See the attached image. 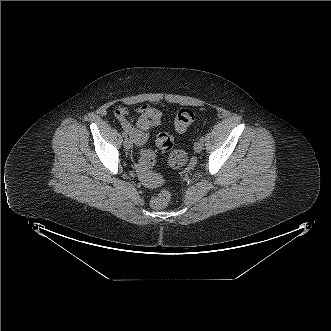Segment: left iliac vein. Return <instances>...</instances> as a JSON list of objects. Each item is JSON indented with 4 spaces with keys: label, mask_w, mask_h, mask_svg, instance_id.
Listing matches in <instances>:
<instances>
[{
    "label": "left iliac vein",
    "mask_w": 331,
    "mask_h": 331,
    "mask_svg": "<svg viewBox=\"0 0 331 331\" xmlns=\"http://www.w3.org/2000/svg\"><path fill=\"white\" fill-rule=\"evenodd\" d=\"M202 149H203V143L201 141L195 142V144H194L195 152L200 153L202 151Z\"/></svg>",
    "instance_id": "4c4485c4"
}]
</instances>
